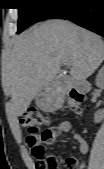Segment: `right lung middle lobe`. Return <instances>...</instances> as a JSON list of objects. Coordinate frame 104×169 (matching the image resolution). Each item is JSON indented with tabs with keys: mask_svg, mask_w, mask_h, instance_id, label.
Returning <instances> with one entry per match:
<instances>
[{
	"mask_svg": "<svg viewBox=\"0 0 104 169\" xmlns=\"http://www.w3.org/2000/svg\"><path fill=\"white\" fill-rule=\"evenodd\" d=\"M75 0H16L19 6V20L17 34L33 23L52 17L65 5Z\"/></svg>",
	"mask_w": 104,
	"mask_h": 169,
	"instance_id": "obj_1",
	"label": "right lung middle lobe"
}]
</instances>
